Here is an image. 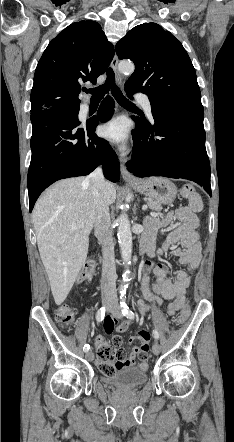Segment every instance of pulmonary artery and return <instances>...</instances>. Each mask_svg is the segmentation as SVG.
I'll list each match as a JSON object with an SVG mask.
<instances>
[{"mask_svg": "<svg viewBox=\"0 0 234 442\" xmlns=\"http://www.w3.org/2000/svg\"><path fill=\"white\" fill-rule=\"evenodd\" d=\"M137 100L142 105L145 112L152 117V109H151V103L150 100L146 96H138Z\"/></svg>", "mask_w": 234, "mask_h": 442, "instance_id": "pulmonary-artery-1", "label": "pulmonary artery"}]
</instances>
